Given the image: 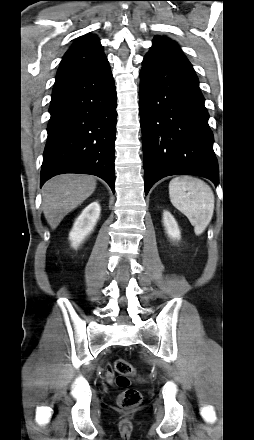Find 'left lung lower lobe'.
<instances>
[{
  "label": "left lung lower lobe",
  "mask_w": 254,
  "mask_h": 440,
  "mask_svg": "<svg viewBox=\"0 0 254 440\" xmlns=\"http://www.w3.org/2000/svg\"><path fill=\"white\" fill-rule=\"evenodd\" d=\"M188 59L149 52L140 73L145 194L163 177L198 175L218 184L213 133Z\"/></svg>",
  "instance_id": "left-lung-lower-lobe-1"
}]
</instances>
